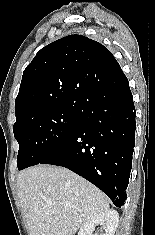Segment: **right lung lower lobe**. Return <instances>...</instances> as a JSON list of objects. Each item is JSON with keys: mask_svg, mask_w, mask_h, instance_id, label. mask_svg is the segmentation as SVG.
Returning <instances> with one entry per match:
<instances>
[{"mask_svg": "<svg viewBox=\"0 0 155 235\" xmlns=\"http://www.w3.org/2000/svg\"><path fill=\"white\" fill-rule=\"evenodd\" d=\"M80 127L39 164L66 167L124 205L135 145V107L120 73L95 86L78 106Z\"/></svg>", "mask_w": 155, "mask_h": 235, "instance_id": "obj_1", "label": "right lung lower lobe"}]
</instances>
